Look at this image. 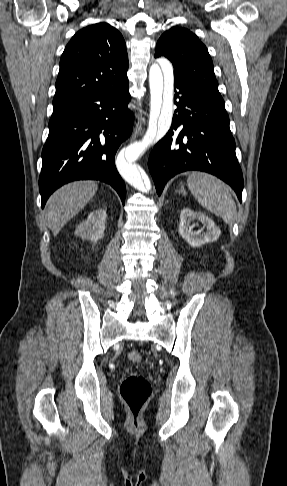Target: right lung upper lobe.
Listing matches in <instances>:
<instances>
[{
	"label": "right lung upper lobe",
	"mask_w": 287,
	"mask_h": 486,
	"mask_svg": "<svg viewBox=\"0 0 287 486\" xmlns=\"http://www.w3.org/2000/svg\"><path fill=\"white\" fill-rule=\"evenodd\" d=\"M125 41L108 23L78 31L65 47L56 80L53 111L128 81Z\"/></svg>",
	"instance_id": "1"
}]
</instances>
